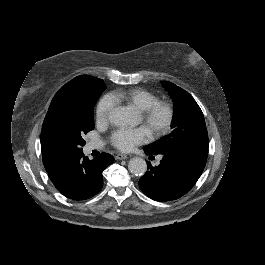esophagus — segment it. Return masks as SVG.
Here are the masks:
<instances>
[{
	"instance_id": "34e87169",
	"label": "esophagus",
	"mask_w": 265,
	"mask_h": 265,
	"mask_svg": "<svg viewBox=\"0 0 265 265\" xmlns=\"http://www.w3.org/2000/svg\"><path fill=\"white\" fill-rule=\"evenodd\" d=\"M132 155L130 154H117L115 156V159H118V160H123V159H128L130 158Z\"/></svg>"
}]
</instances>
